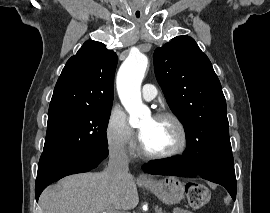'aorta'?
Listing matches in <instances>:
<instances>
[{
    "label": "aorta",
    "mask_w": 270,
    "mask_h": 213,
    "mask_svg": "<svg viewBox=\"0 0 270 213\" xmlns=\"http://www.w3.org/2000/svg\"><path fill=\"white\" fill-rule=\"evenodd\" d=\"M147 65L146 55L133 53L125 59L117 74L118 94L133 127L150 117V110L142 103L140 91Z\"/></svg>",
    "instance_id": "762f6f07"
}]
</instances>
